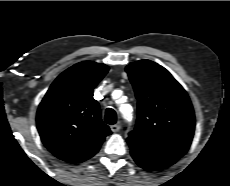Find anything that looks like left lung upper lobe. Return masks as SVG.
Segmentation results:
<instances>
[{"instance_id":"1","label":"left lung upper lobe","mask_w":230,"mask_h":186,"mask_svg":"<svg viewBox=\"0 0 230 186\" xmlns=\"http://www.w3.org/2000/svg\"><path fill=\"white\" fill-rule=\"evenodd\" d=\"M138 100V119L127 142L142 154L177 161L189 149L195 129L191 101L161 65L140 60L126 67Z\"/></svg>"}]
</instances>
